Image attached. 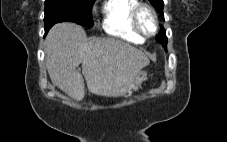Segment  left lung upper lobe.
I'll use <instances>...</instances> for the list:
<instances>
[{
    "label": "left lung upper lobe",
    "mask_w": 227,
    "mask_h": 142,
    "mask_svg": "<svg viewBox=\"0 0 227 142\" xmlns=\"http://www.w3.org/2000/svg\"><path fill=\"white\" fill-rule=\"evenodd\" d=\"M150 3L157 9L158 13L164 17L163 15V8H164V2L163 0H149ZM156 40L161 43L164 48H167V37H166V31L164 28H162V31L159 33V35L156 37Z\"/></svg>",
    "instance_id": "5c2ea615"
}]
</instances>
